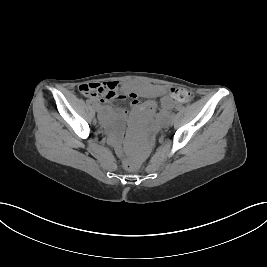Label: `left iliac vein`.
I'll return each mask as SVG.
<instances>
[{
    "mask_svg": "<svg viewBox=\"0 0 267 267\" xmlns=\"http://www.w3.org/2000/svg\"><path fill=\"white\" fill-rule=\"evenodd\" d=\"M166 126H169V125H171V121L170 120H168V121H166Z\"/></svg>",
    "mask_w": 267,
    "mask_h": 267,
    "instance_id": "1",
    "label": "left iliac vein"
}]
</instances>
